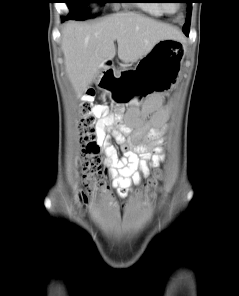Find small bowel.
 I'll return each mask as SVG.
<instances>
[{"label": "small bowel", "instance_id": "c3829d8e", "mask_svg": "<svg viewBox=\"0 0 239 296\" xmlns=\"http://www.w3.org/2000/svg\"><path fill=\"white\" fill-rule=\"evenodd\" d=\"M161 103L162 97L155 95L141 109L127 112L116 107L109 113L107 107L95 106V114L100 117L97 139L105 154L106 173L120 198H125L132 186L140 183L141 176H148L150 168L158 167L164 160L161 143L167 131L169 108L161 107ZM107 135L120 144L122 157L106 140Z\"/></svg>", "mask_w": 239, "mask_h": 296}]
</instances>
